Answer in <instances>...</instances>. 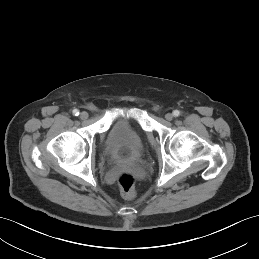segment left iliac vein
Segmentation results:
<instances>
[{
  "mask_svg": "<svg viewBox=\"0 0 259 259\" xmlns=\"http://www.w3.org/2000/svg\"><path fill=\"white\" fill-rule=\"evenodd\" d=\"M173 114L172 113H167L166 115H165V119L166 120H168V121H171L172 119H173Z\"/></svg>",
  "mask_w": 259,
  "mask_h": 259,
  "instance_id": "left-iliac-vein-1",
  "label": "left iliac vein"
}]
</instances>
